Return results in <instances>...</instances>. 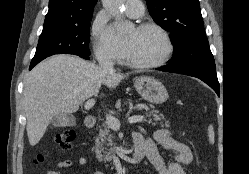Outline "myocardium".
I'll list each match as a JSON object with an SVG mask.
<instances>
[{
	"label": "myocardium",
	"instance_id": "myocardium-1",
	"mask_svg": "<svg viewBox=\"0 0 249 174\" xmlns=\"http://www.w3.org/2000/svg\"><path fill=\"white\" fill-rule=\"evenodd\" d=\"M149 29L155 30L158 33H160L163 39L165 40L167 46L165 55L157 61L148 62V63H140V62H133L130 60H126L127 65L137 69H154L165 65L172 58L174 54V44L169 33L162 26L153 22L140 23L136 27V30L138 31H144Z\"/></svg>",
	"mask_w": 249,
	"mask_h": 174
}]
</instances>
